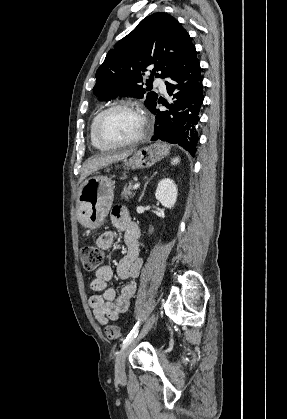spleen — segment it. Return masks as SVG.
Returning a JSON list of instances; mask_svg holds the SVG:
<instances>
[{"label":"spleen","instance_id":"spleen-1","mask_svg":"<svg viewBox=\"0 0 287 419\" xmlns=\"http://www.w3.org/2000/svg\"><path fill=\"white\" fill-rule=\"evenodd\" d=\"M180 162V158L179 157H175L171 160V164L172 165H177Z\"/></svg>","mask_w":287,"mask_h":419}]
</instances>
